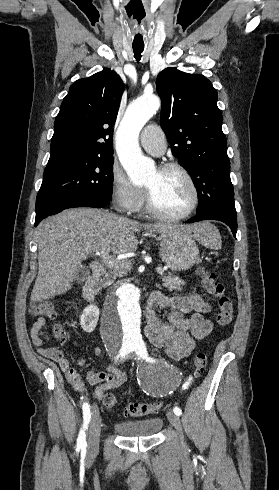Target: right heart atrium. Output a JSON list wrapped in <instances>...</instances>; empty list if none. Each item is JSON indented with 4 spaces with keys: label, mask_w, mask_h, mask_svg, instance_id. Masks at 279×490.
Returning a JSON list of instances; mask_svg holds the SVG:
<instances>
[{
    "label": "right heart atrium",
    "mask_w": 279,
    "mask_h": 490,
    "mask_svg": "<svg viewBox=\"0 0 279 490\" xmlns=\"http://www.w3.org/2000/svg\"><path fill=\"white\" fill-rule=\"evenodd\" d=\"M109 182L112 198L122 211L137 214L143 209L146 190L134 185L117 163L111 166Z\"/></svg>",
    "instance_id": "right-heart-atrium-1"
}]
</instances>
